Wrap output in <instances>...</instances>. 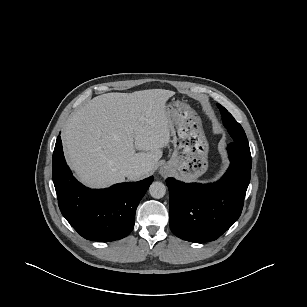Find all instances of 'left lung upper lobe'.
Wrapping results in <instances>:
<instances>
[{
	"mask_svg": "<svg viewBox=\"0 0 307 307\" xmlns=\"http://www.w3.org/2000/svg\"><path fill=\"white\" fill-rule=\"evenodd\" d=\"M220 109L224 126L233 138L234 142H238L244 146L249 147L246 134L242 126L234 119V117L220 104H217Z\"/></svg>",
	"mask_w": 307,
	"mask_h": 307,
	"instance_id": "obj_1",
	"label": "left lung upper lobe"
}]
</instances>
